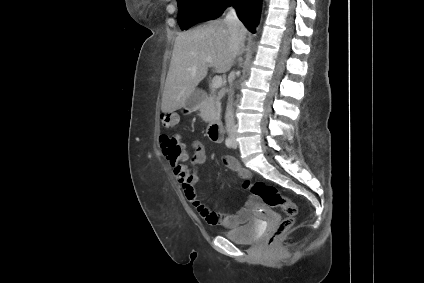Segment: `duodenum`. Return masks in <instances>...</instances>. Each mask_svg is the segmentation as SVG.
Here are the masks:
<instances>
[{"label":"duodenum","instance_id":"obj_1","mask_svg":"<svg viewBox=\"0 0 424 283\" xmlns=\"http://www.w3.org/2000/svg\"><path fill=\"white\" fill-rule=\"evenodd\" d=\"M208 136L216 142H221L223 139V124L219 120H212L208 128Z\"/></svg>","mask_w":424,"mask_h":283}]
</instances>
